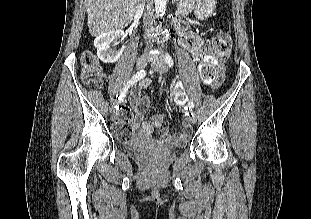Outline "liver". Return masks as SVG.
I'll use <instances>...</instances> for the list:
<instances>
[{
  "mask_svg": "<svg viewBox=\"0 0 311 219\" xmlns=\"http://www.w3.org/2000/svg\"><path fill=\"white\" fill-rule=\"evenodd\" d=\"M140 0H85L88 28L92 36L119 30L130 23Z\"/></svg>",
  "mask_w": 311,
  "mask_h": 219,
  "instance_id": "liver-1",
  "label": "liver"
}]
</instances>
